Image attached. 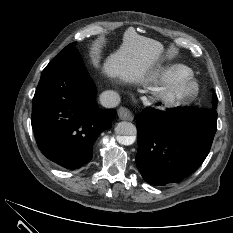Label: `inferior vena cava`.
<instances>
[{
    "label": "inferior vena cava",
    "instance_id": "inferior-vena-cava-1",
    "mask_svg": "<svg viewBox=\"0 0 233 233\" xmlns=\"http://www.w3.org/2000/svg\"><path fill=\"white\" fill-rule=\"evenodd\" d=\"M100 103L102 106L106 108H113L116 107L120 103V96L115 91H104L100 95Z\"/></svg>",
    "mask_w": 233,
    "mask_h": 233
}]
</instances>
